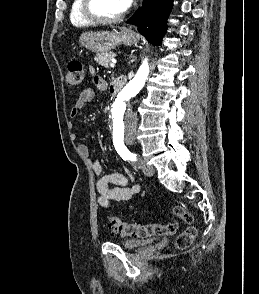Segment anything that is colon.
<instances>
[{
	"label": "colon",
	"instance_id": "1",
	"mask_svg": "<svg viewBox=\"0 0 259 294\" xmlns=\"http://www.w3.org/2000/svg\"><path fill=\"white\" fill-rule=\"evenodd\" d=\"M86 81V72L82 63L78 60H72L68 63L67 73L65 75V84L68 87L82 86ZM174 215L180 220L188 224L176 238L175 246L178 249L188 248L197 236V229L192 226L193 216L191 212L182 206H176L173 209ZM109 229L119 236H131L138 238H148L154 236H163L174 234L178 228L177 223L168 224H140L128 222L117 216L109 219Z\"/></svg>",
	"mask_w": 259,
	"mask_h": 294
}]
</instances>
